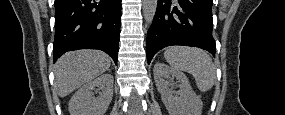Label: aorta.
Instances as JSON below:
<instances>
[{"mask_svg": "<svg viewBox=\"0 0 285 115\" xmlns=\"http://www.w3.org/2000/svg\"><path fill=\"white\" fill-rule=\"evenodd\" d=\"M157 0H143V15L148 24H151L157 9Z\"/></svg>", "mask_w": 285, "mask_h": 115, "instance_id": "762f6f07", "label": "aorta"}]
</instances>
